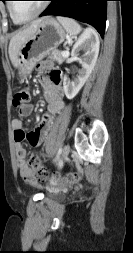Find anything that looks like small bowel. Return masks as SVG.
<instances>
[{"mask_svg": "<svg viewBox=\"0 0 133 253\" xmlns=\"http://www.w3.org/2000/svg\"><path fill=\"white\" fill-rule=\"evenodd\" d=\"M36 69L41 76L44 98L47 102V112L41 122L28 133H25L20 118H15L11 121L18 169L22 178L28 183H34L36 181V175L27 161V152L22 142L26 139L32 146L36 147L41 145L52 127L53 115L59 114L65 106L61 86V73L54 69L48 62L38 64ZM32 112L33 105L29 103L19 108V115L21 117H27ZM41 157L47 158L44 153L41 154Z\"/></svg>", "mask_w": 133, "mask_h": 253, "instance_id": "small-bowel-1", "label": "small bowel"}]
</instances>
